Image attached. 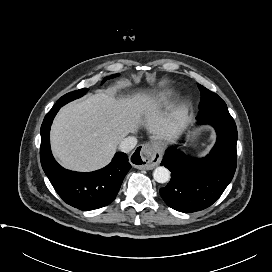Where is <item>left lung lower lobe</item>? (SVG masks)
Returning a JSON list of instances; mask_svg holds the SVG:
<instances>
[{
	"label": "left lung lower lobe",
	"mask_w": 272,
	"mask_h": 272,
	"mask_svg": "<svg viewBox=\"0 0 272 272\" xmlns=\"http://www.w3.org/2000/svg\"><path fill=\"white\" fill-rule=\"evenodd\" d=\"M197 121L216 130L217 141L209 155L193 159L171 147L161 162L171 171V181L160 195L169 207L185 213L211 206L231 182L237 164V128L227 107L201 111Z\"/></svg>",
	"instance_id": "obj_1"
}]
</instances>
